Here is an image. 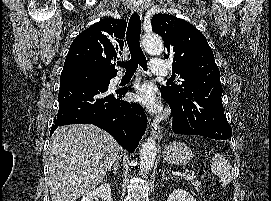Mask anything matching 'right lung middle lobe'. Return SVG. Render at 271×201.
Wrapping results in <instances>:
<instances>
[{"instance_id": "1", "label": "right lung middle lobe", "mask_w": 271, "mask_h": 201, "mask_svg": "<svg viewBox=\"0 0 271 201\" xmlns=\"http://www.w3.org/2000/svg\"><path fill=\"white\" fill-rule=\"evenodd\" d=\"M113 75L109 74H98L95 76L96 79L103 81L104 83L107 82L108 79L112 78Z\"/></svg>"}]
</instances>
